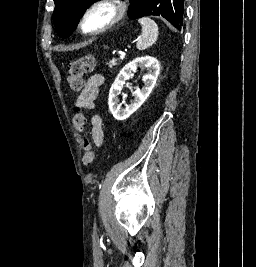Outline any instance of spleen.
Listing matches in <instances>:
<instances>
[{
    "label": "spleen",
    "mask_w": 256,
    "mask_h": 267,
    "mask_svg": "<svg viewBox=\"0 0 256 267\" xmlns=\"http://www.w3.org/2000/svg\"><path fill=\"white\" fill-rule=\"evenodd\" d=\"M138 22L142 26V34L138 38L137 48L138 50H147L157 42L158 26L151 18H140Z\"/></svg>",
    "instance_id": "obj_1"
}]
</instances>
